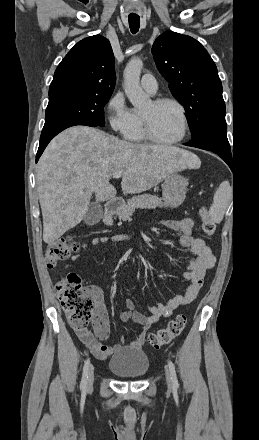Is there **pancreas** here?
<instances>
[{
    "mask_svg": "<svg viewBox=\"0 0 259 440\" xmlns=\"http://www.w3.org/2000/svg\"><path fill=\"white\" fill-rule=\"evenodd\" d=\"M163 203L160 198L150 194L137 195L127 200V203H124L120 207L119 215L122 218H128L137 208L140 209H155L157 207H162ZM112 215H109L105 219L106 225H112Z\"/></svg>",
    "mask_w": 259,
    "mask_h": 440,
    "instance_id": "pancreas-1",
    "label": "pancreas"
}]
</instances>
